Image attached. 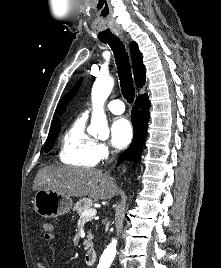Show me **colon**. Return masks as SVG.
I'll return each instance as SVG.
<instances>
[{
	"label": "colon",
	"mask_w": 221,
	"mask_h": 268,
	"mask_svg": "<svg viewBox=\"0 0 221 268\" xmlns=\"http://www.w3.org/2000/svg\"><path fill=\"white\" fill-rule=\"evenodd\" d=\"M41 226L45 232H49L53 228L52 224L48 221H42Z\"/></svg>",
	"instance_id": "colon-1"
}]
</instances>
